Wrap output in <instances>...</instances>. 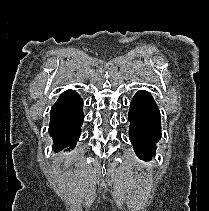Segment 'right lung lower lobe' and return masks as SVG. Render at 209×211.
Segmentation results:
<instances>
[{
  "label": "right lung lower lobe",
  "mask_w": 209,
  "mask_h": 211,
  "mask_svg": "<svg viewBox=\"0 0 209 211\" xmlns=\"http://www.w3.org/2000/svg\"><path fill=\"white\" fill-rule=\"evenodd\" d=\"M83 120L81 97L72 90L62 93L50 112L49 134L53 138L55 152L75 147L80 137Z\"/></svg>",
  "instance_id": "98d812e1"
}]
</instances>
